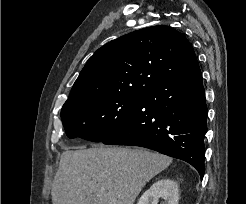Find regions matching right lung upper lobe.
<instances>
[{
	"label": "right lung upper lobe",
	"mask_w": 246,
	"mask_h": 204,
	"mask_svg": "<svg viewBox=\"0 0 246 204\" xmlns=\"http://www.w3.org/2000/svg\"><path fill=\"white\" fill-rule=\"evenodd\" d=\"M195 62L192 45L177 30L160 25L134 31L89 58L63 107L109 94H142Z\"/></svg>",
	"instance_id": "1"
}]
</instances>
